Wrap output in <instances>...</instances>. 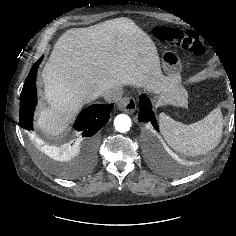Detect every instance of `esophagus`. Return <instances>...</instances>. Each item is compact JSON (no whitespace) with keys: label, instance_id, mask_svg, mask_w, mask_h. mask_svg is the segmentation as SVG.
<instances>
[{"label":"esophagus","instance_id":"esophagus-1","mask_svg":"<svg viewBox=\"0 0 236 236\" xmlns=\"http://www.w3.org/2000/svg\"><path fill=\"white\" fill-rule=\"evenodd\" d=\"M119 110L132 114L136 110V101L132 97H124L117 104Z\"/></svg>","mask_w":236,"mask_h":236}]
</instances>
